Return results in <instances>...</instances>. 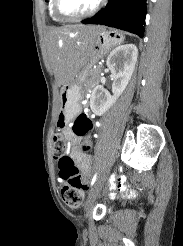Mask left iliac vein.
Segmentation results:
<instances>
[{
	"instance_id": "obj_1",
	"label": "left iliac vein",
	"mask_w": 183,
	"mask_h": 246,
	"mask_svg": "<svg viewBox=\"0 0 183 246\" xmlns=\"http://www.w3.org/2000/svg\"><path fill=\"white\" fill-rule=\"evenodd\" d=\"M102 181L103 179H100L95 185L94 187L91 189L90 193H89V196H88V199L86 201V204H85V211H86V215L89 211V209L91 208V206L93 205L96 197L98 196L99 194V191L102 187Z\"/></svg>"
}]
</instances>
